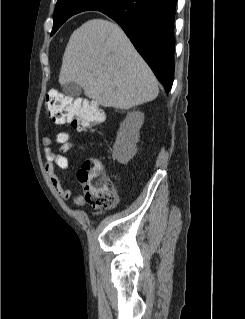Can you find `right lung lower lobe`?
Listing matches in <instances>:
<instances>
[{
    "label": "right lung lower lobe",
    "mask_w": 245,
    "mask_h": 319,
    "mask_svg": "<svg viewBox=\"0 0 245 319\" xmlns=\"http://www.w3.org/2000/svg\"><path fill=\"white\" fill-rule=\"evenodd\" d=\"M177 0H122L101 10L115 20L168 93L174 80V20Z\"/></svg>",
    "instance_id": "right-lung-lower-lobe-1"
}]
</instances>
